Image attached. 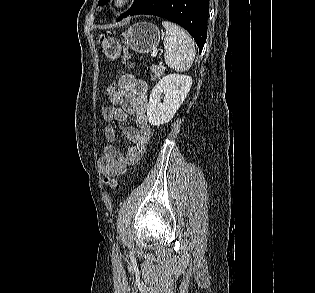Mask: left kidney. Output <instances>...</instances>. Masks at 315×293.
<instances>
[{
    "label": "left kidney",
    "mask_w": 315,
    "mask_h": 293,
    "mask_svg": "<svg viewBox=\"0 0 315 293\" xmlns=\"http://www.w3.org/2000/svg\"><path fill=\"white\" fill-rule=\"evenodd\" d=\"M191 85L192 78L188 75L169 74L160 79L150 94L147 107L149 123L152 126L168 123L185 100Z\"/></svg>",
    "instance_id": "1"
}]
</instances>
